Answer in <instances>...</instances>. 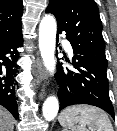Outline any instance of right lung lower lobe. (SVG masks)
I'll list each match as a JSON object with an SVG mask.
<instances>
[{
    "instance_id": "1",
    "label": "right lung lower lobe",
    "mask_w": 117,
    "mask_h": 131,
    "mask_svg": "<svg viewBox=\"0 0 117 131\" xmlns=\"http://www.w3.org/2000/svg\"><path fill=\"white\" fill-rule=\"evenodd\" d=\"M22 43V32L0 41V105L8 109L16 119L18 118V104L15 77L18 73L16 62L19 57L17 49Z\"/></svg>"
}]
</instances>
